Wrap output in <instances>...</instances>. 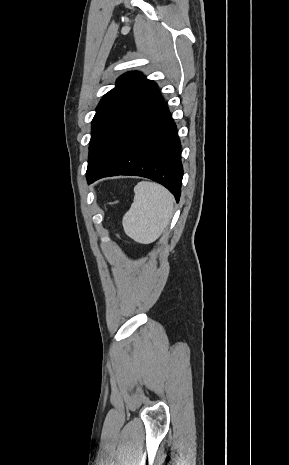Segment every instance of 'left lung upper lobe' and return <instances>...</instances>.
Instances as JSON below:
<instances>
[{"label": "left lung upper lobe", "mask_w": 289, "mask_h": 465, "mask_svg": "<svg viewBox=\"0 0 289 465\" xmlns=\"http://www.w3.org/2000/svg\"><path fill=\"white\" fill-rule=\"evenodd\" d=\"M157 94V84L139 72H128L118 78L116 87L101 99L92 120L86 177L118 144Z\"/></svg>", "instance_id": "left-lung-upper-lobe-1"}]
</instances>
